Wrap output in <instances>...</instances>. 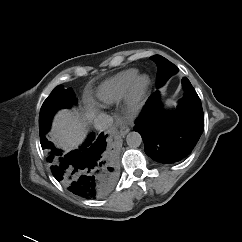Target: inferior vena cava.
Instances as JSON below:
<instances>
[{
  "label": "inferior vena cava",
  "instance_id": "inferior-vena-cava-1",
  "mask_svg": "<svg viewBox=\"0 0 242 242\" xmlns=\"http://www.w3.org/2000/svg\"><path fill=\"white\" fill-rule=\"evenodd\" d=\"M113 124V118L105 113L99 114L95 119H94V127L97 130L104 131L111 127Z\"/></svg>",
  "mask_w": 242,
  "mask_h": 242
}]
</instances>
